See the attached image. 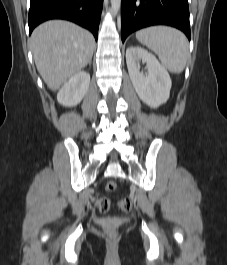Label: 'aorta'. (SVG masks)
<instances>
[{"label":"aorta","mask_w":227,"mask_h":265,"mask_svg":"<svg viewBox=\"0 0 227 265\" xmlns=\"http://www.w3.org/2000/svg\"><path fill=\"white\" fill-rule=\"evenodd\" d=\"M121 0H111L112 13L116 14L120 10Z\"/></svg>","instance_id":"obj_1"}]
</instances>
